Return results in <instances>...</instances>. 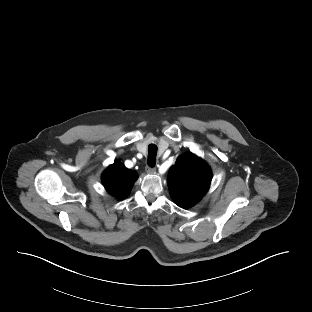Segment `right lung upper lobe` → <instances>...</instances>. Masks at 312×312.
<instances>
[{
    "instance_id": "obj_1",
    "label": "right lung upper lobe",
    "mask_w": 312,
    "mask_h": 312,
    "mask_svg": "<svg viewBox=\"0 0 312 312\" xmlns=\"http://www.w3.org/2000/svg\"><path fill=\"white\" fill-rule=\"evenodd\" d=\"M138 175L135 171L127 169L119 161L110 165L102 176V182L106 190L117 199L125 198L130 192Z\"/></svg>"
}]
</instances>
